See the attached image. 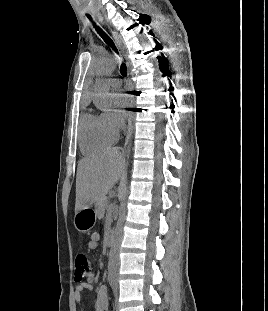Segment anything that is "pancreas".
I'll return each mask as SVG.
<instances>
[{
    "instance_id": "obj_1",
    "label": "pancreas",
    "mask_w": 268,
    "mask_h": 311,
    "mask_svg": "<svg viewBox=\"0 0 268 311\" xmlns=\"http://www.w3.org/2000/svg\"><path fill=\"white\" fill-rule=\"evenodd\" d=\"M106 206H107L106 198L103 197V198L96 201L95 213H96L97 217L103 218Z\"/></svg>"
}]
</instances>
